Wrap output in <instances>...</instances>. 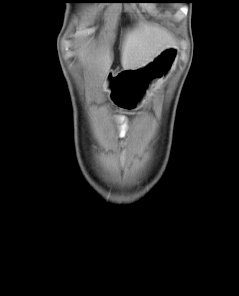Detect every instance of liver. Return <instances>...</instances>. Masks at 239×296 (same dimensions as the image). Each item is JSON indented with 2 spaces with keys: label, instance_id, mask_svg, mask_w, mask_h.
Returning <instances> with one entry per match:
<instances>
[{
  "label": "liver",
  "instance_id": "1",
  "mask_svg": "<svg viewBox=\"0 0 239 296\" xmlns=\"http://www.w3.org/2000/svg\"><path fill=\"white\" fill-rule=\"evenodd\" d=\"M174 45L173 38L165 30L142 24L124 35L121 46L122 67L126 70L138 69L152 61L165 48ZM79 59L83 63H94L104 77L112 65L113 55L109 49L97 54L83 48L79 52Z\"/></svg>",
  "mask_w": 239,
  "mask_h": 296
}]
</instances>
